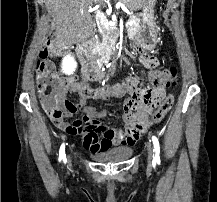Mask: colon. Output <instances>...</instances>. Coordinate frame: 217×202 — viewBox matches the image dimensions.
I'll use <instances>...</instances> for the list:
<instances>
[{"label":"colon","instance_id":"1","mask_svg":"<svg viewBox=\"0 0 217 202\" xmlns=\"http://www.w3.org/2000/svg\"><path fill=\"white\" fill-rule=\"evenodd\" d=\"M48 41H55V36H44L43 46H48ZM54 55H62V52H67V47H53ZM51 49H41V54H51ZM35 59L37 65L36 73H38L39 86L37 91H44L41 102L45 103V111H49L48 119H54L55 128H61L66 133L76 135L85 131H95L100 129V123L97 120H89L88 118H79L74 121L69 120V114L75 110V107L68 103L64 110H61V103L65 102L62 98L61 91H68V86H62L63 80H59L60 74L66 68V63H55V59H51V55H38ZM55 78V80H53ZM135 79V82H152V90H134V106L139 110H149L155 108L159 99H163V91L166 86H173L177 80V70L175 68H167L156 72H150L147 76L133 75L129 78ZM168 100H164V105L161 110H156L154 113L153 122H159L170 109L174 96H168ZM139 119L133 126H139L142 122ZM152 121V120H151ZM154 124V125H155ZM133 126L125 131H133ZM139 137V136H138Z\"/></svg>","mask_w":217,"mask_h":202}]
</instances>
